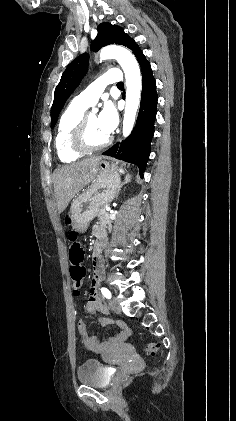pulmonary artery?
Instances as JSON below:
<instances>
[{
  "instance_id": "obj_1",
  "label": "pulmonary artery",
  "mask_w": 236,
  "mask_h": 421,
  "mask_svg": "<svg viewBox=\"0 0 236 421\" xmlns=\"http://www.w3.org/2000/svg\"><path fill=\"white\" fill-rule=\"evenodd\" d=\"M121 76L122 71L120 69H107L105 74L101 75L95 84L84 90L74 101L86 108L94 105L104 88L109 84L118 83Z\"/></svg>"
}]
</instances>
